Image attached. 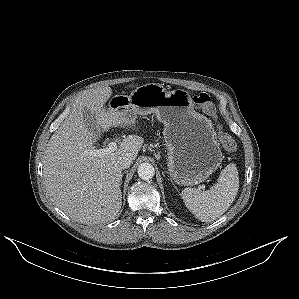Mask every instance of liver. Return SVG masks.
Returning <instances> with one entry per match:
<instances>
[{
  "instance_id": "6515ba94",
  "label": "liver",
  "mask_w": 299,
  "mask_h": 299,
  "mask_svg": "<svg viewBox=\"0 0 299 299\" xmlns=\"http://www.w3.org/2000/svg\"><path fill=\"white\" fill-rule=\"evenodd\" d=\"M111 95L108 86L78 95L69 116L51 136L43 156L45 186L51 200L80 223H106L118 216L123 174L117 161L126 153L135 159L144 142L138 135H128L114 152L102 157L89 155L99 136L85 126V108L94 114L103 131L117 126L137 128L133 116L104 107Z\"/></svg>"
}]
</instances>
